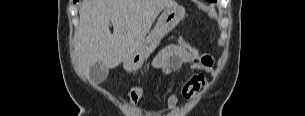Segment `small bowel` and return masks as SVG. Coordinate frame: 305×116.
<instances>
[{
	"label": "small bowel",
	"mask_w": 305,
	"mask_h": 116,
	"mask_svg": "<svg viewBox=\"0 0 305 116\" xmlns=\"http://www.w3.org/2000/svg\"><path fill=\"white\" fill-rule=\"evenodd\" d=\"M184 64L190 65L195 70L209 72L213 68V58L209 54L199 52L184 39H181L178 44L162 48L152 60V66L165 75L178 72ZM207 85L208 81L203 75H193L182 85L181 97L184 100H191ZM166 101L171 111L178 109L179 98L177 95L170 93Z\"/></svg>",
	"instance_id": "obj_1"
}]
</instances>
